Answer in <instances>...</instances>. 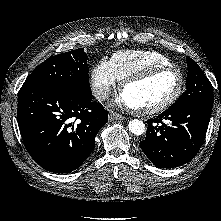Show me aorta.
<instances>
[{"label": "aorta", "mask_w": 221, "mask_h": 221, "mask_svg": "<svg viewBox=\"0 0 221 221\" xmlns=\"http://www.w3.org/2000/svg\"><path fill=\"white\" fill-rule=\"evenodd\" d=\"M129 131L137 136L145 132V124L138 119L131 120L128 124Z\"/></svg>", "instance_id": "762f6f07"}]
</instances>
